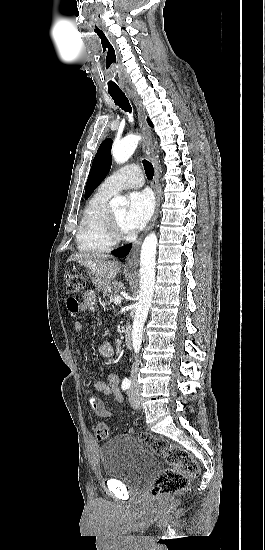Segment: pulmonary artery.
<instances>
[{
    "mask_svg": "<svg viewBox=\"0 0 265 550\" xmlns=\"http://www.w3.org/2000/svg\"><path fill=\"white\" fill-rule=\"evenodd\" d=\"M144 184L142 171L137 163H131L108 176L101 188L115 194L126 188H138Z\"/></svg>",
    "mask_w": 265,
    "mask_h": 550,
    "instance_id": "pulmonary-artery-1",
    "label": "pulmonary artery"
}]
</instances>
